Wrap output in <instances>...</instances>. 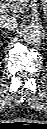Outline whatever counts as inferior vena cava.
<instances>
[{
  "instance_id": "1",
  "label": "inferior vena cava",
  "mask_w": 47,
  "mask_h": 129,
  "mask_svg": "<svg viewBox=\"0 0 47 129\" xmlns=\"http://www.w3.org/2000/svg\"><path fill=\"white\" fill-rule=\"evenodd\" d=\"M0 27L10 31L15 30L18 27V22L12 16L3 15L1 17Z\"/></svg>"
}]
</instances>
